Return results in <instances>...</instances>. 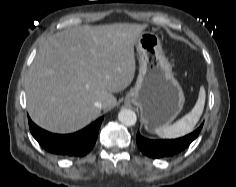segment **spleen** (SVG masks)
Listing matches in <instances>:
<instances>
[{
    "mask_svg": "<svg viewBox=\"0 0 236 187\" xmlns=\"http://www.w3.org/2000/svg\"><path fill=\"white\" fill-rule=\"evenodd\" d=\"M205 104V89L200 88L198 100L193 109L176 123L155 129V133L161 138H178L193 131L198 123Z\"/></svg>",
    "mask_w": 236,
    "mask_h": 187,
    "instance_id": "spleen-1",
    "label": "spleen"
}]
</instances>
